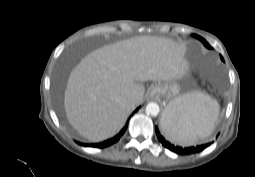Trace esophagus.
I'll return each mask as SVG.
<instances>
[{
    "label": "esophagus",
    "mask_w": 255,
    "mask_h": 177,
    "mask_svg": "<svg viewBox=\"0 0 255 177\" xmlns=\"http://www.w3.org/2000/svg\"><path fill=\"white\" fill-rule=\"evenodd\" d=\"M156 92H157L156 89L152 90V94H156Z\"/></svg>",
    "instance_id": "1"
}]
</instances>
